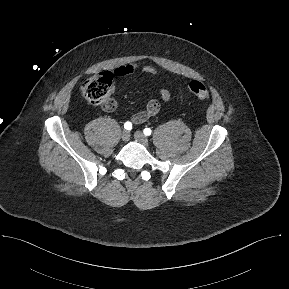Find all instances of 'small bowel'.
<instances>
[{
    "mask_svg": "<svg viewBox=\"0 0 289 289\" xmlns=\"http://www.w3.org/2000/svg\"><path fill=\"white\" fill-rule=\"evenodd\" d=\"M140 70L141 73L146 74V75H155L157 73V70L155 67L146 65L143 67H139V64L134 63V64H129L126 66H122L118 69L115 70V75L119 77H126L133 75L137 70ZM159 96L163 102H168L171 99V93L168 89L162 88L159 90ZM160 110V103L158 100H150L145 109L134 114L131 117V121L134 124H140L143 123L150 118L154 117L157 115V113Z\"/></svg>",
    "mask_w": 289,
    "mask_h": 289,
    "instance_id": "small-bowel-1",
    "label": "small bowel"
}]
</instances>
